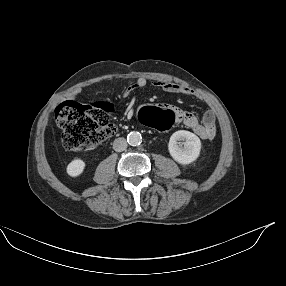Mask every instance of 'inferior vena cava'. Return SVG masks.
Returning a JSON list of instances; mask_svg holds the SVG:
<instances>
[{"label": "inferior vena cava", "instance_id": "602c4592", "mask_svg": "<svg viewBox=\"0 0 286 286\" xmlns=\"http://www.w3.org/2000/svg\"><path fill=\"white\" fill-rule=\"evenodd\" d=\"M127 148V141L125 138H117L114 140L113 149L117 152L124 151Z\"/></svg>", "mask_w": 286, "mask_h": 286}]
</instances>
